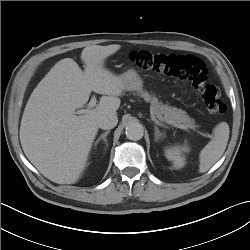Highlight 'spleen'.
<instances>
[{
  "instance_id": "spleen-1",
  "label": "spleen",
  "mask_w": 250,
  "mask_h": 250,
  "mask_svg": "<svg viewBox=\"0 0 250 250\" xmlns=\"http://www.w3.org/2000/svg\"><path fill=\"white\" fill-rule=\"evenodd\" d=\"M229 139V125L226 122L217 124L213 130V138L201 150L199 172L208 171L223 155Z\"/></svg>"
}]
</instances>
